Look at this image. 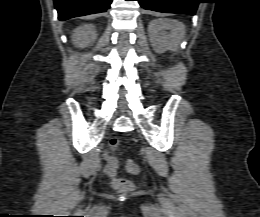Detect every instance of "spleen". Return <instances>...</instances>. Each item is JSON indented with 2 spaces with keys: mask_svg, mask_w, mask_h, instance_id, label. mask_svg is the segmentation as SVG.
I'll return each instance as SVG.
<instances>
[{
  "mask_svg": "<svg viewBox=\"0 0 260 217\" xmlns=\"http://www.w3.org/2000/svg\"><path fill=\"white\" fill-rule=\"evenodd\" d=\"M177 31L179 32V37H180V38L183 37L184 31H183V29H182L181 27H179L178 25H177Z\"/></svg>",
  "mask_w": 260,
  "mask_h": 217,
  "instance_id": "1",
  "label": "spleen"
}]
</instances>
